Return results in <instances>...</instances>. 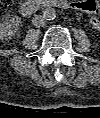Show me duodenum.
Instances as JSON below:
<instances>
[{
  "mask_svg": "<svg viewBox=\"0 0 100 118\" xmlns=\"http://www.w3.org/2000/svg\"><path fill=\"white\" fill-rule=\"evenodd\" d=\"M49 7L70 8L71 4L67 0H26L21 4L20 11L23 15L29 16Z\"/></svg>",
  "mask_w": 100,
  "mask_h": 118,
  "instance_id": "1",
  "label": "duodenum"
}]
</instances>
